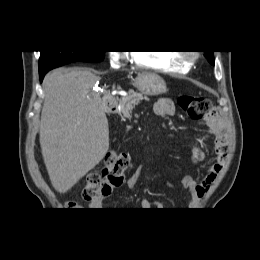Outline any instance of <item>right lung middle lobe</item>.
<instances>
[{
	"label": "right lung middle lobe",
	"instance_id": "1",
	"mask_svg": "<svg viewBox=\"0 0 260 260\" xmlns=\"http://www.w3.org/2000/svg\"><path fill=\"white\" fill-rule=\"evenodd\" d=\"M105 51H41L39 74L53 68L76 61L99 62L104 59Z\"/></svg>",
	"mask_w": 260,
	"mask_h": 260
}]
</instances>
